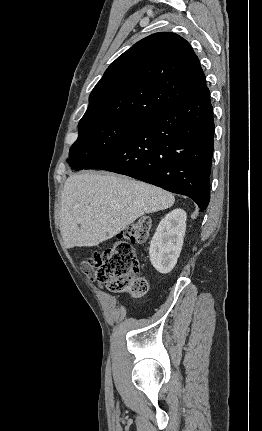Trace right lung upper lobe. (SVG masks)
I'll use <instances>...</instances> for the list:
<instances>
[{
  "label": "right lung upper lobe",
  "instance_id": "1",
  "mask_svg": "<svg viewBox=\"0 0 262 431\" xmlns=\"http://www.w3.org/2000/svg\"><path fill=\"white\" fill-rule=\"evenodd\" d=\"M189 43L169 32L152 34L120 55L92 90L79 124L143 120L206 89Z\"/></svg>",
  "mask_w": 262,
  "mask_h": 431
}]
</instances>
